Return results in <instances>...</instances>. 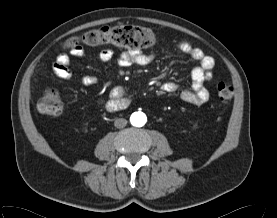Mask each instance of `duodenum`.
Segmentation results:
<instances>
[{
	"label": "duodenum",
	"instance_id": "1",
	"mask_svg": "<svg viewBox=\"0 0 277 218\" xmlns=\"http://www.w3.org/2000/svg\"><path fill=\"white\" fill-rule=\"evenodd\" d=\"M128 104H129L128 98L118 99L112 103V108L115 111V110L125 108Z\"/></svg>",
	"mask_w": 277,
	"mask_h": 218
}]
</instances>
